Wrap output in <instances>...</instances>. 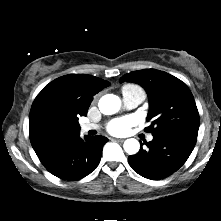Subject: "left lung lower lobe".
Returning <instances> with one entry per match:
<instances>
[{
  "label": "left lung lower lobe",
  "mask_w": 221,
  "mask_h": 221,
  "mask_svg": "<svg viewBox=\"0 0 221 221\" xmlns=\"http://www.w3.org/2000/svg\"><path fill=\"white\" fill-rule=\"evenodd\" d=\"M195 141L179 134L153 135L148 146L128 158L132 169L139 175L151 179H163L177 171L188 159ZM143 145V144H142Z\"/></svg>",
  "instance_id": "0a47b994"
}]
</instances>
